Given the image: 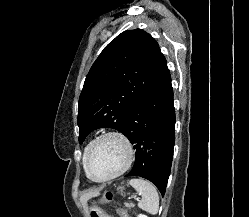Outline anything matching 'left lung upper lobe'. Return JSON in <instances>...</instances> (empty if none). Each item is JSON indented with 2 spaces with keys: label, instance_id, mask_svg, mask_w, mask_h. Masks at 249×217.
Instances as JSON below:
<instances>
[{
  "label": "left lung upper lobe",
  "instance_id": "1",
  "mask_svg": "<svg viewBox=\"0 0 249 217\" xmlns=\"http://www.w3.org/2000/svg\"><path fill=\"white\" fill-rule=\"evenodd\" d=\"M167 65L156 40L141 29L110 42L92 65L79 98V143L94 129L124 134L127 117Z\"/></svg>",
  "mask_w": 249,
  "mask_h": 217
}]
</instances>
